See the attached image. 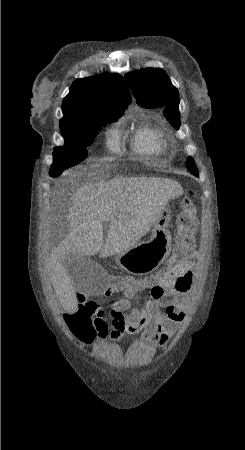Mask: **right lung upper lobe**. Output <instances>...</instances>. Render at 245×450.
<instances>
[{
  "mask_svg": "<svg viewBox=\"0 0 245 450\" xmlns=\"http://www.w3.org/2000/svg\"><path fill=\"white\" fill-rule=\"evenodd\" d=\"M130 103L125 80L118 74H102L74 81L63 100L62 110L64 117H68L96 104L125 108Z\"/></svg>",
  "mask_w": 245,
  "mask_h": 450,
  "instance_id": "1",
  "label": "right lung upper lobe"
}]
</instances>
